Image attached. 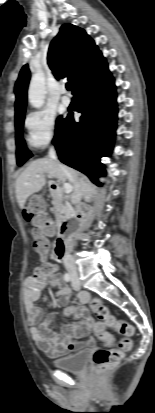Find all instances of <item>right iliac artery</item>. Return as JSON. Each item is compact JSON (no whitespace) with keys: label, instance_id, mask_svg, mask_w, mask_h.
<instances>
[{"label":"right iliac artery","instance_id":"right-iliac-artery-1","mask_svg":"<svg viewBox=\"0 0 155 413\" xmlns=\"http://www.w3.org/2000/svg\"><path fill=\"white\" fill-rule=\"evenodd\" d=\"M64 280H65L66 282H69V281L71 280V276H70L69 273H65V274H64Z\"/></svg>","mask_w":155,"mask_h":413}]
</instances>
